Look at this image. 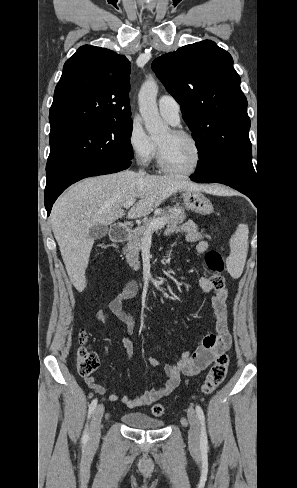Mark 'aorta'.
Listing matches in <instances>:
<instances>
[{
  "mask_svg": "<svg viewBox=\"0 0 297 488\" xmlns=\"http://www.w3.org/2000/svg\"><path fill=\"white\" fill-rule=\"evenodd\" d=\"M158 86L152 76L142 84L138 94L139 111L148 134L159 135L166 131L167 125L159 115L156 103Z\"/></svg>",
  "mask_w": 297,
  "mask_h": 488,
  "instance_id": "762f6f07",
  "label": "aorta"
}]
</instances>
